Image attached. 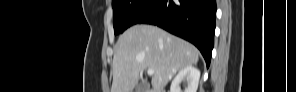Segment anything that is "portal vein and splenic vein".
Masks as SVG:
<instances>
[{"label":"portal vein and splenic vein","instance_id":"obj_1","mask_svg":"<svg viewBox=\"0 0 296 92\" xmlns=\"http://www.w3.org/2000/svg\"><path fill=\"white\" fill-rule=\"evenodd\" d=\"M148 75H153L154 74V70L153 69H148L147 70Z\"/></svg>","mask_w":296,"mask_h":92}]
</instances>
